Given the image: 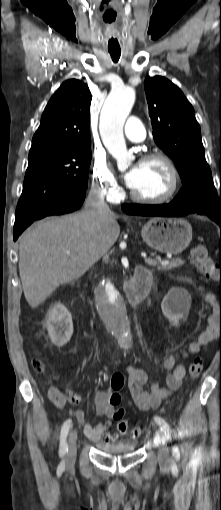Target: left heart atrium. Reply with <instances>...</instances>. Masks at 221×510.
<instances>
[{"label":"left heart atrium","instance_id":"left-heart-atrium-1","mask_svg":"<svg viewBox=\"0 0 221 510\" xmlns=\"http://www.w3.org/2000/svg\"><path fill=\"white\" fill-rule=\"evenodd\" d=\"M138 176V164H135L124 176L126 184L132 188Z\"/></svg>","mask_w":221,"mask_h":510}]
</instances>
